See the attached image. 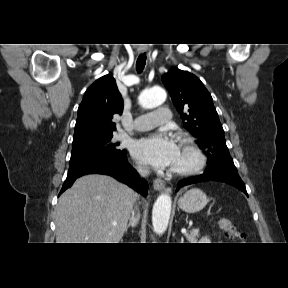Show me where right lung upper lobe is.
Segmentation results:
<instances>
[{
    "mask_svg": "<svg viewBox=\"0 0 288 288\" xmlns=\"http://www.w3.org/2000/svg\"><path fill=\"white\" fill-rule=\"evenodd\" d=\"M122 109L123 100L115 79L105 75L96 80L79 105L73 145L113 135L116 127L111 120Z\"/></svg>",
    "mask_w": 288,
    "mask_h": 288,
    "instance_id": "cb5924a9",
    "label": "right lung upper lobe"
}]
</instances>
